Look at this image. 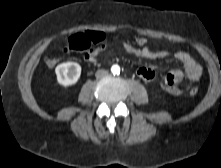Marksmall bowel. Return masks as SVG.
I'll return each mask as SVG.
<instances>
[{
  "instance_id": "obj_1",
  "label": "small bowel",
  "mask_w": 221,
  "mask_h": 168,
  "mask_svg": "<svg viewBox=\"0 0 221 168\" xmlns=\"http://www.w3.org/2000/svg\"><path fill=\"white\" fill-rule=\"evenodd\" d=\"M122 47L126 53L138 58L157 60L170 56L168 51L153 50L147 46L135 47L130 43H123ZM105 49V45L91 49L85 54V60L90 63L96 62ZM174 58L182 64L183 69L169 73L161 83V87L169 94L180 95L183 92L180 84L184 81L189 84L196 82L201 77L203 69L202 66L187 52L177 51L174 53ZM137 74L144 81H152L155 77V72L148 67L139 68Z\"/></svg>"
}]
</instances>
